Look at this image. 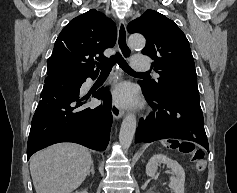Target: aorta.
<instances>
[{
  "label": "aorta",
  "mask_w": 237,
  "mask_h": 193,
  "mask_svg": "<svg viewBox=\"0 0 237 193\" xmlns=\"http://www.w3.org/2000/svg\"><path fill=\"white\" fill-rule=\"evenodd\" d=\"M129 46L133 49L143 48L146 44L145 38L143 35L135 33L129 36L128 39ZM137 127V121L134 114H128L121 124L119 141L124 150H128L130 147L135 131Z\"/></svg>",
  "instance_id": "aorta-1"
}]
</instances>
